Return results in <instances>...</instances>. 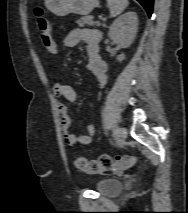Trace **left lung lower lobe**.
<instances>
[{"label": "left lung lower lobe", "instance_id": "0a47b994", "mask_svg": "<svg viewBox=\"0 0 188 213\" xmlns=\"http://www.w3.org/2000/svg\"><path fill=\"white\" fill-rule=\"evenodd\" d=\"M145 8L148 15L151 16L153 10V0H137Z\"/></svg>", "mask_w": 188, "mask_h": 213}]
</instances>
